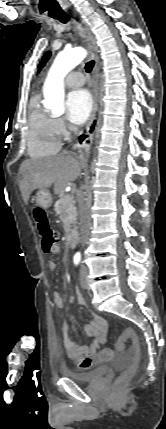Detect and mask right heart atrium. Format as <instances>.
Instances as JSON below:
<instances>
[{"label":"right heart atrium","mask_w":166,"mask_h":429,"mask_svg":"<svg viewBox=\"0 0 166 429\" xmlns=\"http://www.w3.org/2000/svg\"><path fill=\"white\" fill-rule=\"evenodd\" d=\"M53 126L57 133V135H64L66 133V125L63 119L61 118H53Z\"/></svg>","instance_id":"d8ad5b80"}]
</instances>
